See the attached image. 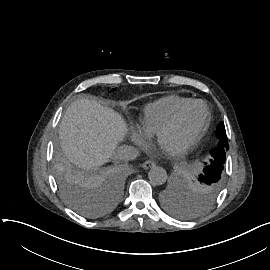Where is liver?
<instances>
[{"label":"liver","instance_id":"liver-1","mask_svg":"<svg viewBox=\"0 0 270 270\" xmlns=\"http://www.w3.org/2000/svg\"><path fill=\"white\" fill-rule=\"evenodd\" d=\"M59 137L69 160L81 168H90L112 156L124 137L123 120L94 100L79 99L63 116Z\"/></svg>","mask_w":270,"mask_h":270}]
</instances>
